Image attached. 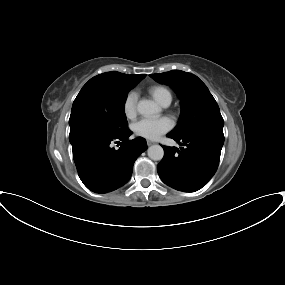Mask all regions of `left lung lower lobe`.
Here are the masks:
<instances>
[{
    "instance_id": "left-lung-lower-lobe-1",
    "label": "left lung lower lobe",
    "mask_w": 285,
    "mask_h": 285,
    "mask_svg": "<svg viewBox=\"0 0 285 285\" xmlns=\"http://www.w3.org/2000/svg\"><path fill=\"white\" fill-rule=\"evenodd\" d=\"M167 136L185 148L163 146L164 157L157 167L159 177L179 191L201 189L217 170L224 135L206 130L185 137L171 133Z\"/></svg>"
}]
</instances>
